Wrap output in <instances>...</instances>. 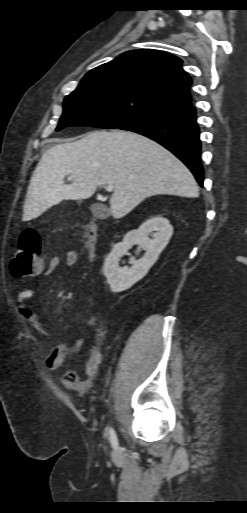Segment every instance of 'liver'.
<instances>
[{
  "mask_svg": "<svg viewBox=\"0 0 247 513\" xmlns=\"http://www.w3.org/2000/svg\"><path fill=\"white\" fill-rule=\"evenodd\" d=\"M70 174L73 182L65 184ZM110 184L115 219L151 196H199L190 170L159 143L134 132L100 130L57 144L42 155L28 187L25 217L36 218L62 200L90 198L98 186Z\"/></svg>",
  "mask_w": 247,
  "mask_h": 513,
  "instance_id": "6515ba94",
  "label": "liver"
}]
</instances>
